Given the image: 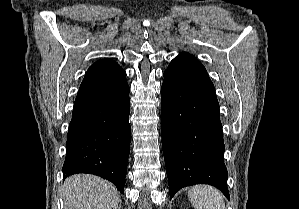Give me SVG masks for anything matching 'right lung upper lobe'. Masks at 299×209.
I'll return each mask as SVG.
<instances>
[{
	"label": "right lung upper lobe",
	"instance_id": "obj_1",
	"mask_svg": "<svg viewBox=\"0 0 299 209\" xmlns=\"http://www.w3.org/2000/svg\"><path fill=\"white\" fill-rule=\"evenodd\" d=\"M110 69L119 73H124V70L111 59H102L95 62L88 70Z\"/></svg>",
	"mask_w": 299,
	"mask_h": 209
}]
</instances>
